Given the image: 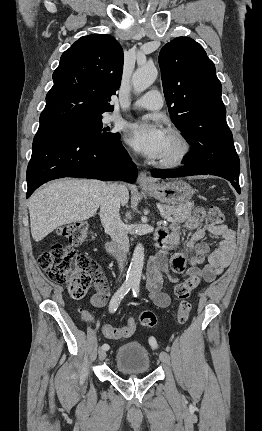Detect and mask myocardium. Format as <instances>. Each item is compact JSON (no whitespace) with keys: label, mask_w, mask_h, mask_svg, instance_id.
I'll use <instances>...</instances> for the list:
<instances>
[{"label":"myocardium","mask_w":262,"mask_h":431,"mask_svg":"<svg viewBox=\"0 0 262 431\" xmlns=\"http://www.w3.org/2000/svg\"><path fill=\"white\" fill-rule=\"evenodd\" d=\"M167 134L176 142L177 151L170 157L158 159L155 164L161 168H176L182 166L192 153L191 144L188 138L177 129L169 128Z\"/></svg>","instance_id":"obj_1"}]
</instances>
